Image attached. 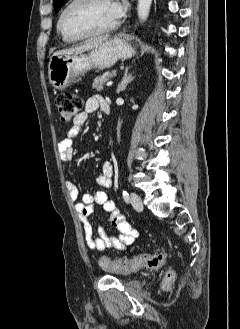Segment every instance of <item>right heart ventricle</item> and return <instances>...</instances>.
I'll use <instances>...</instances> for the list:
<instances>
[{"mask_svg": "<svg viewBox=\"0 0 240 329\" xmlns=\"http://www.w3.org/2000/svg\"><path fill=\"white\" fill-rule=\"evenodd\" d=\"M70 2H71V0H69L68 4H69ZM68 4H67V5H68ZM59 17H60V16H59ZM58 23H59V19H58V22H57V30H58L59 34L61 35L62 39H63L64 41H69V40H67L66 38H64L63 35L60 33V31H59V27H58Z\"/></svg>", "mask_w": 240, "mask_h": 329, "instance_id": "1", "label": "right heart ventricle"}]
</instances>
